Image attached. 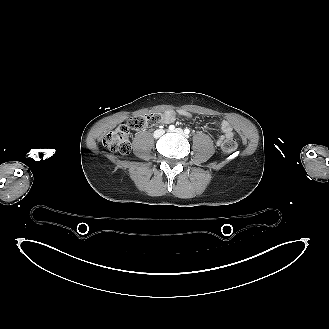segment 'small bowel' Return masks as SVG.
I'll use <instances>...</instances> for the list:
<instances>
[{"instance_id":"small-bowel-1","label":"small bowel","mask_w":329,"mask_h":329,"mask_svg":"<svg viewBox=\"0 0 329 329\" xmlns=\"http://www.w3.org/2000/svg\"><path fill=\"white\" fill-rule=\"evenodd\" d=\"M176 116L189 117L190 114L185 110H177L175 112L168 111L164 113V123H171L175 120ZM218 127V124H215ZM220 128L223 135L219 136L217 144L220 145L224 139L231 138L234 136V129L232 125L227 120L220 121Z\"/></svg>"}]
</instances>
